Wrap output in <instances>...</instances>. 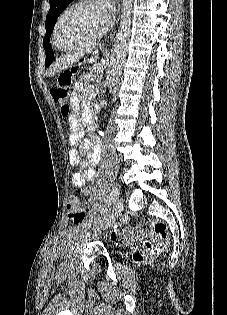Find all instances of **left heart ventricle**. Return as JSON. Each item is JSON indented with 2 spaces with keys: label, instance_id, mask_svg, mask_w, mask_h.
<instances>
[{
  "label": "left heart ventricle",
  "instance_id": "left-heart-ventricle-1",
  "mask_svg": "<svg viewBox=\"0 0 227 315\" xmlns=\"http://www.w3.org/2000/svg\"><path fill=\"white\" fill-rule=\"evenodd\" d=\"M105 23L104 13L98 4L76 7L62 19L56 43L60 47L78 44L98 33Z\"/></svg>",
  "mask_w": 227,
  "mask_h": 315
}]
</instances>
